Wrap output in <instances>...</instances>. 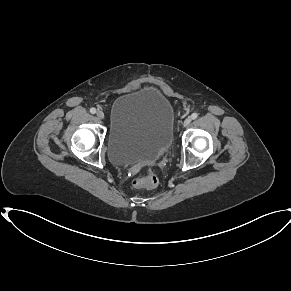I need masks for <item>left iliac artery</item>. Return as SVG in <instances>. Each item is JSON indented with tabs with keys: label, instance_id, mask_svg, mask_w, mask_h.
<instances>
[{
	"label": "left iliac artery",
	"instance_id": "1",
	"mask_svg": "<svg viewBox=\"0 0 291 291\" xmlns=\"http://www.w3.org/2000/svg\"><path fill=\"white\" fill-rule=\"evenodd\" d=\"M198 117V114L197 113H193L192 115H191V118L194 120V119H196Z\"/></svg>",
	"mask_w": 291,
	"mask_h": 291
}]
</instances>
